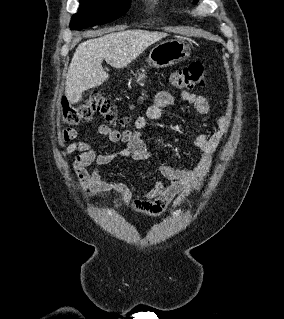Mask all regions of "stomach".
<instances>
[{
	"label": "stomach",
	"instance_id": "1",
	"mask_svg": "<svg viewBox=\"0 0 284 319\" xmlns=\"http://www.w3.org/2000/svg\"><path fill=\"white\" fill-rule=\"evenodd\" d=\"M191 48L183 39L166 40L156 45L149 54L148 64L155 68H164L174 65L190 56ZM133 74L136 82L142 81L146 76V70Z\"/></svg>",
	"mask_w": 284,
	"mask_h": 319
}]
</instances>
